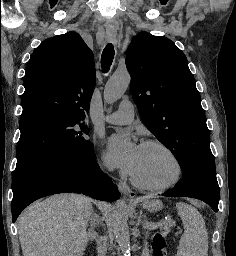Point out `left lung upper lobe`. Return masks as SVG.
Masks as SVG:
<instances>
[{
  "mask_svg": "<svg viewBox=\"0 0 236 256\" xmlns=\"http://www.w3.org/2000/svg\"><path fill=\"white\" fill-rule=\"evenodd\" d=\"M130 91L152 134L190 171L216 173L210 135L184 53L168 38L140 32L126 53Z\"/></svg>",
  "mask_w": 236,
  "mask_h": 256,
  "instance_id": "1",
  "label": "left lung upper lobe"
}]
</instances>
